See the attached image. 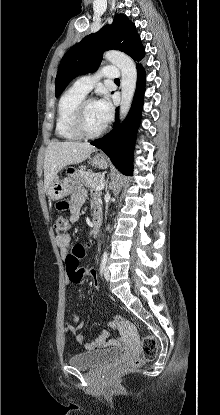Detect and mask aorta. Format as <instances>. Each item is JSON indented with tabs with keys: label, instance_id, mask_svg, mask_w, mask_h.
Listing matches in <instances>:
<instances>
[{
	"label": "aorta",
	"instance_id": "obj_1",
	"mask_svg": "<svg viewBox=\"0 0 220 415\" xmlns=\"http://www.w3.org/2000/svg\"><path fill=\"white\" fill-rule=\"evenodd\" d=\"M104 58L116 65L121 71L120 118L124 119L129 112L136 89V66L129 56L119 51H107L104 53Z\"/></svg>",
	"mask_w": 220,
	"mask_h": 415
}]
</instances>
